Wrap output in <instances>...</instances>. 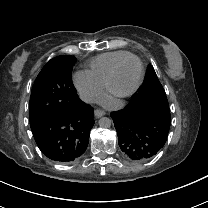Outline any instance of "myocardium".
I'll list each match as a JSON object with an SVG mask.
<instances>
[{
	"label": "myocardium",
	"mask_w": 208,
	"mask_h": 208,
	"mask_svg": "<svg viewBox=\"0 0 208 208\" xmlns=\"http://www.w3.org/2000/svg\"><path fill=\"white\" fill-rule=\"evenodd\" d=\"M130 58H134L139 62L140 65V74H139V78L138 81L136 82V84L134 85V87L132 89H130L127 92H116L113 88L114 85V81L116 78V74L118 69L121 67V65L128 59ZM144 74H145V68H144V63L142 61V59L137 56L136 54L130 53L128 55H126L125 57H123L122 59L118 60L115 65L113 66L108 79L104 85V89L106 91V93L116 99H125V98H129L131 96H133L141 87L143 80H144Z\"/></svg>",
	"instance_id": "myocardium-1"
}]
</instances>
